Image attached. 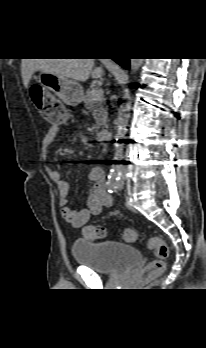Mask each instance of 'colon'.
I'll return each instance as SVG.
<instances>
[{
  "label": "colon",
  "instance_id": "obj_1",
  "mask_svg": "<svg viewBox=\"0 0 206 348\" xmlns=\"http://www.w3.org/2000/svg\"><path fill=\"white\" fill-rule=\"evenodd\" d=\"M30 93L37 110L53 126L60 127L67 123L66 110L56 97L45 93L41 87H32ZM82 233L87 240L101 239L105 236V230L101 226L87 225L83 228ZM123 238L126 241H134L137 239V231L127 228L123 233ZM148 248L155 253L156 259L139 272L141 277H153L162 273L165 269V260L169 256L168 244L160 237L149 238Z\"/></svg>",
  "mask_w": 206,
  "mask_h": 348
}]
</instances>
